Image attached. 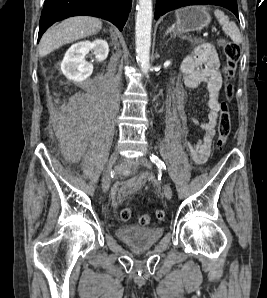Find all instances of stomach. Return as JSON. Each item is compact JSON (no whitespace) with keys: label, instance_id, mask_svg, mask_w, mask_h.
I'll list each match as a JSON object with an SVG mask.
<instances>
[{"label":"stomach","instance_id":"1","mask_svg":"<svg viewBox=\"0 0 267 298\" xmlns=\"http://www.w3.org/2000/svg\"><path fill=\"white\" fill-rule=\"evenodd\" d=\"M176 23L173 29L176 33L200 31L211 21L209 11L202 6H189L176 11Z\"/></svg>","mask_w":267,"mask_h":298}]
</instances>
